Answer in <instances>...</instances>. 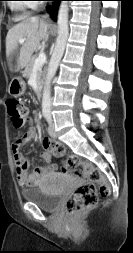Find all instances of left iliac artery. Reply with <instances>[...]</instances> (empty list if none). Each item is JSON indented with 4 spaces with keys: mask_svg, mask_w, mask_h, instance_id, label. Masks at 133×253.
I'll return each instance as SVG.
<instances>
[{
    "mask_svg": "<svg viewBox=\"0 0 133 253\" xmlns=\"http://www.w3.org/2000/svg\"><path fill=\"white\" fill-rule=\"evenodd\" d=\"M46 118H47V121L50 123L51 122V116H50V114H48V116Z\"/></svg>",
    "mask_w": 133,
    "mask_h": 253,
    "instance_id": "44dca946",
    "label": "left iliac artery"
}]
</instances>
